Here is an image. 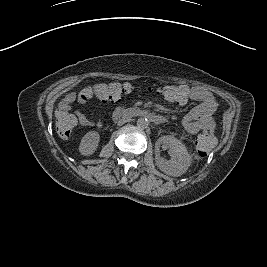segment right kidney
<instances>
[{"label": "right kidney", "mask_w": 267, "mask_h": 267, "mask_svg": "<svg viewBox=\"0 0 267 267\" xmlns=\"http://www.w3.org/2000/svg\"><path fill=\"white\" fill-rule=\"evenodd\" d=\"M100 134L97 131L87 132L81 139L79 152L83 156L92 155L98 148Z\"/></svg>", "instance_id": "1"}]
</instances>
